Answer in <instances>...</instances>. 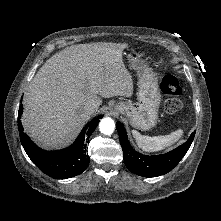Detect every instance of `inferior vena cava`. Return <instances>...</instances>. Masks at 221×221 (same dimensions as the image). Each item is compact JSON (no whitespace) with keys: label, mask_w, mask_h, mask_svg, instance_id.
Masks as SVG:
<instances>
[{"label":"inferior vena cava","mask_w":221,"mask_h":221,"mask_svg":"<svg viewBox=\"0 0 221 221\" xmlns=\"http://www.w3.org/2000/svg\"><path fill=\"white\" fill-rule=\"evenodd\" d=\"M99 107V104L97 102H89L85 105V112L89 115L94 113Z\"/></svg>","instance_id":"602c4592"}]
</instances>
